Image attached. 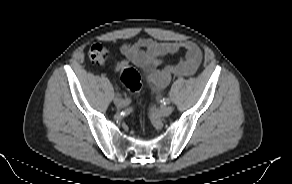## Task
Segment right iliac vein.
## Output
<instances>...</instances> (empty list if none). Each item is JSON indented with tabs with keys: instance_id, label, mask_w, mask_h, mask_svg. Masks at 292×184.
<instances>
[{
	"instance_id": "obj_1",
	"label": "right iliac vein",
	"mask_w": 292,
	"mask_h": 184,
	"mask_svg": "<svg viewBox=\"0 0 292 184\" xmlns=\"http://www.w3.org/2000/svg\"><path fill=\"white\" fill-rule=\"evenodd\" d=\"M118 97V96H117ZM117 97L114 98V104L118 107V108H122V107H125L127 106V103L124 101V100H120L117 99Z\"/></svg>"
}]
</instances>
